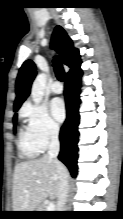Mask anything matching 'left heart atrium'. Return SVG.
I'll use <instances>...</instances> for the list:
<instances>
[{
  "mask_svg": "<svg viewBox=\"0 0 123 219\" xmlns=\"http://www.w3.org/2000/svg\"><path fill=\"white\" fill-rule=\"evenodd\" d=\"M50 109L57 121H62L65 118V105L62 99L54 98L50 103Z\"/></svg>",
  "mask_w": 123,
  "mask_h": 219,
  "instance_id": "obj_1",
  "label": "left heart atrium"
}]
</instances>
